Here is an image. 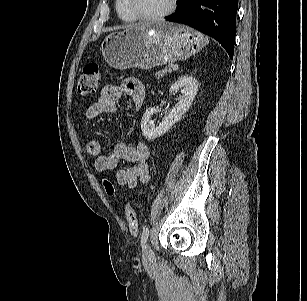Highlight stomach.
<instances>
[{"instance_id": "stomach-1", "label": "stomach", "mask_w": 307, "mask_h": 301, "mask_svg": "<svg viewBox=\"0 0 307 301\" xmlns=\"http://www.w3.org/2000/svg\"><path fill=\"white\" fill-rule=\"evenodd\" d=\"M206 43L204 35L190 27L157 22L109 34L101 51L108 65L115 69H149L187 59Z\"/></svg>"}]
</instances>
